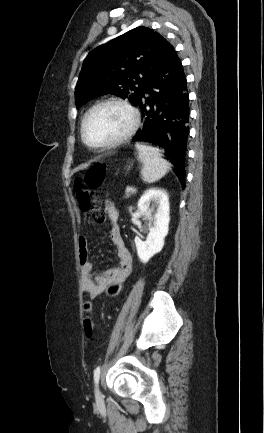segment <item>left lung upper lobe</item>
I'll use <instances>...</instances> for the list:
<instances>
[{
    "mask_svg": "<svg viewBox=\"0 0 264 433\" xmlns=\"http://www.w3.org/2000/svg\"><path fill=\"white\" fill-rule=\"evenodd\" d=\"M173 46L159 33L137 27L91 51L76 87V105L104 94L137 104Z\"/></svg>",
    "mask_w": 264,
    "mask_h": 433,
    "instance_id": "left-lung-upper-lobe-1",
    "label": "left lung upper lobe"
}]
</instances>
